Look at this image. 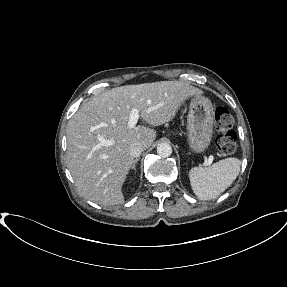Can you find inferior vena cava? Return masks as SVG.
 <instances>
[{
  "label": "inferior vena cava",
  "instance_id": "602c4592",
  "mask_svg": "<svg viewBox=\"0 0 287 287\" xmlns=\"http://www.w3.org/2000/svg\"><path fill=\"white\" fill-rule=\"evenodd\" d=\"M144 149H145L144 145L142 143L137 142L131 145L129 152L132 158H137L141 155Z\"/></svg>",
  "mask_w": 287,
  "mask_h": 287
}]
</instances>
